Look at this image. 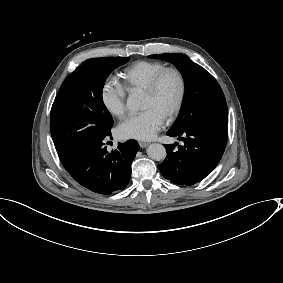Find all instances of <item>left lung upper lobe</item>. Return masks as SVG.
Listing matches in <instances>:
<instances>
[{"label":"left lung upper lobe","mask_w":283,"mask_h":283,"mask_svg":"<svg viewBox=\"0 0 283 283\" xmlns=\"http://www.w3.org/2000/svg\"><path fill=\"white\" fill-rule=\"evenodd\" d=\"M172 62L185 81V97L179 116L169 131L181 132L203 126L228 125L225 96L214 77L183 54L150 55Z\"/></svg>","instance_id":"1"}]
</instances>
